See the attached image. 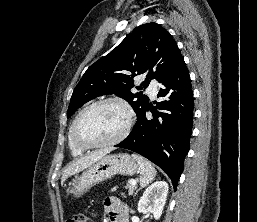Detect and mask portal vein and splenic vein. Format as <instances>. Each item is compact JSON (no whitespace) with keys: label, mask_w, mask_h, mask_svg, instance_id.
Listing matches in <instances>:
<instances>
[{"label":"portal vein and splenic vein","mask_w":257,"mask_h":222,"mask_svg":"<svg viewBox=\"0 0 257 222\" xmlns=\"http://www.w3.org/2000/svg\"><path fill=\"white\" fill-rule=\"evenodd\" d=\"M130 184L135 186L136 185V181L134 179L130 180Z\"/></svg>","instance_id":"portal-vein-and-splenic-vein-1"}]
</instances>
